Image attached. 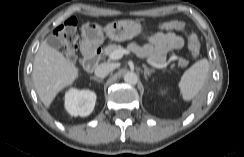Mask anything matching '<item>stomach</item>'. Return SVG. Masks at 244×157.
<instances>
[{
	"label": "stomach",
	"mask_w": 244,
	"mask_h": 157,
	"mask_svg": "<svg viewBox=\"0 0 244 157\" xmlns=\"http://www.w3.org/2000/svg\"><path fill=\"white\" fill-rule=\"evenodd\" d=\"M143 27L138 20H118L101 27L97 23L82 26V44L84 47H97L104 41V33L113 41H126L140 35Z\"/></svg>",
	"instance_id": "0dacf381"
}]
</instances>
